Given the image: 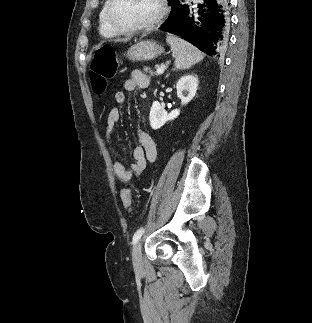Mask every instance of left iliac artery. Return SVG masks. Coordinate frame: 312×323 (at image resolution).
Returning <instances> with one entry per match:
<instances>
[{
  "label": "left iliac artery",
  "mask_w": 312,
  "mask_h": 323,
  "mask_svg": "<svg viewBox=\"0 0 312 323\" xmlns=\"http://www.w3.org/2000/svg\"><path fill=\"white\" fill-rule=\"evenodd\" d=\"M144 231H145V229H144V228H140V229H138V230L135 232V234H134V236H133V241H132V243H133L134 245L138 242V240L140 239V237L142 236V234L144 233Z\"/></svg>",
  "instance_id": "44dca946"
}]
</instances>
